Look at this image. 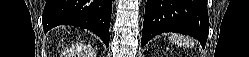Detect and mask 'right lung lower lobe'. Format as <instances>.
Listing matches in <instances>:
<instances>
[{"label": "right lung lower lobe", "instance_id": "1", "mask_svg": "<svg viewBox=\"0 0 249 57\" xmlns=\"http://www.w3.org/2000/svg\"><path fill=\"white\" fill-rule=\"evenodd\" d=\"M112 0H47L43 11L45 32L60 25H74L96 33L109 46Z\"/></svg>", "mask_w": 249, "mask_h": 57}]
</instances>
